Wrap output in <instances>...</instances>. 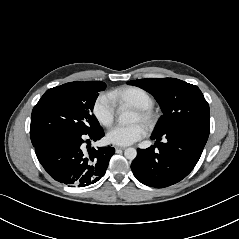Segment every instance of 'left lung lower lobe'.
Wrapping results in <instances>:
<instances>
[{"label":"left lung lower lobe","mask_w":239,"mask_h":239,"mask_svg":"<svg viewBox=\"0 0 239 239\" xmlns=\"http://www.w3.org/2000/svg\"><path fill=\"white\" fill-rule=\"evenodd\" d=\"M209 131L200 128H177L164 134H153L154 145L138 149L131 164L135 177L156 188L173 185L185 178L198 162ZM166 137L167 142H160ZM156 147L158 149H156Z\"/></svg>","instance_id":"left-lung-lower-lobe-1"}]
</instances>
